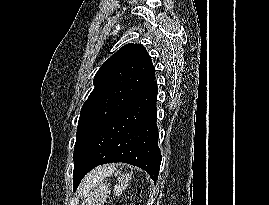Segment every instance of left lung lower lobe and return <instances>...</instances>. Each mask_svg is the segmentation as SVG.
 I'll use <instances>...</instances> for the list:
<instances>
[{
	"mask_svg": "<svg viewBox=\"0 0 269 205\" xmlns=\"http://www.w3.org/2000/svg\"><path fill=\"white\" fill-rule=\"evenodd\" d=\"M156 102L157 83L153 81L97 131L74 167V190L90 170L112 162L138 166L154 181L158 179L162 157Z\"/></svg>",
	"mask_w": 269,
	"mask_h": 205,
	"instance_id": "left-lung-lower-lobe-1",
	"label": "left lung lower lobe"
}]
</instances>
